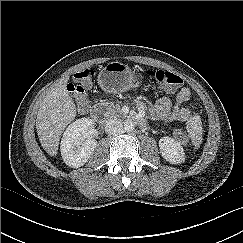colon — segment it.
<instances>
[{
	"label": "colon",
	"instance_id": "colon-1",
	"mask_svg": "<svg viewBox=\"0 0 243 243\" xmlns=\"http://www.w3.org/2000/svg\"><path fill=\"white\" fill-rule=\"evenodd\" d=\"M147 74L169 90H175L183 84L180 76L166 70H149ZM93 76L92 69H84L75 73L71 83L68 84V91L74 96L79 107L87 104L85 87L90 85ZM171 132L179 142L186 143L188 141L187 133L183 128L175 125L171 127Z\"/></svg>",
	"mask_w": 243,
	"mask_h": 243
}]
</instances>
